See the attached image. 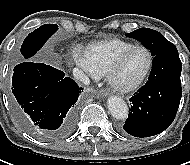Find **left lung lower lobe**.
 <instances>
[{
	"instance_id": "obj_1",
	"label": "left lung lower lobe",
	"mask_w": 190,
	"mask_h": 165,
	"mask_svg": "<svg viewBox=\"0 0 190 165\" xmlns=\"http://www.w3.org/2000/svg\"><path fill=\"white\" fill-rule=\"evenodd\" d=\"M181 68L175 46L154 56L148 81L130 98L133 105L124 131L135 137H150L169 127L182 96Z\"/></svg>"
}]
</instances>
